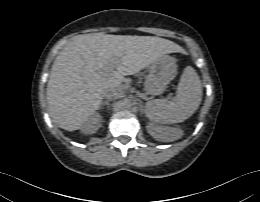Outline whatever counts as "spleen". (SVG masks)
Segmentation results:
<instances>
[{"label":"spleen","mask_w":260,"mask_h":202,"mask_svg":"<svg viewBox=\"0 0 260 202\" xmlns=\"http://www.w3.org/2000/svg\"><path fill=\"white\" fill-rule=\"evenodd\" d=\"M202 99L201 81L196 71L187 66L181 75L173 101L155 99L146 103V114L161 124L179 123L188 119L199 107ZM180 135L176 134L174 139Z\"/></svg>","instance_id":"obj_1"}]
</instances>
